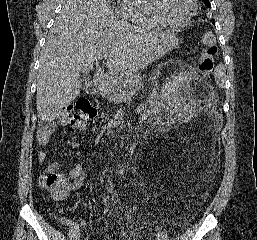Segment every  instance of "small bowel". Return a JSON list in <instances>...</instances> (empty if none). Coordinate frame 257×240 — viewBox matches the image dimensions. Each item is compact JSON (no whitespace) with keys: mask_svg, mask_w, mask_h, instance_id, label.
Wrapping results in <instances>:
<instances>
[{"mask_svg":"<svg viewBox=\"0 0 257 240\" xmlns=\"http://www.w3.org/2000/svg\"><path fill=\"white\" fill-rule=\"evenodd\" d=\"M52 137V132L50 130L40 129L37 135V141L39 145H46ZM47 154L43 150H39L38 159L40 162L45 161ZM59 169V163L56 161L50 162L47 167V172H56ZM69 179L71 180L70 189L74 192L78 191L84 181H85V173L83 170V166L81 164L75 166L68 174Z\"/></svg>","mask_w":257,"mask_h":240,"instance_id":"c3829d8e","label":"small bowel"}]
</instances>
